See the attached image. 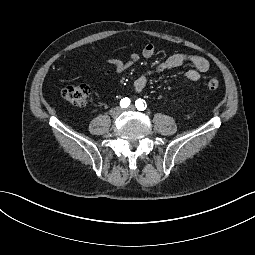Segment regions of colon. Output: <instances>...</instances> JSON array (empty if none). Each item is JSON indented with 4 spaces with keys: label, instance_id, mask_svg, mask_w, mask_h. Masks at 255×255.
<instances>
[{
    "label": "colon",
    "instance_id": "obj_1",
    "mask_svg": "<svg viewBox=\"0 0 255 255\" xmlns=\"http://www.w3.org/2000/svg\"><path fill=\"white\" fill-rule=\"evenodd\" d=\"M219 85L217 79H210L206 87L210 91H215L219 88ZM89 94L90 88L85 84L66 86L61 91L62 97L75 106H84L87 103Z\"/></svg>",
    "mask_w": 255,
    "mask_h": 255
}]
</instances>
